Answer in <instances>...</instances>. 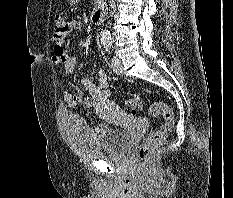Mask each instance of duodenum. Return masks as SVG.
Segmentation results:
<instances>
[{
    "mask_svg": "<svg viewBox=\"0 0 233 198\" xmlns=\"http://www.w3.org/2000/svg\"><path fill=\"white\" fill-rule=\"evenodd\" d=\"M105 16H106V6L102 4L95 8L93 13L91 14L90 19L93 24H100L104 21Z\"/></svg>",
    "mask_w": 233,
    "mask_h": 198,
    "instance_id": "410a0bca",
    "label": "duodenum"
}]
</instances>
